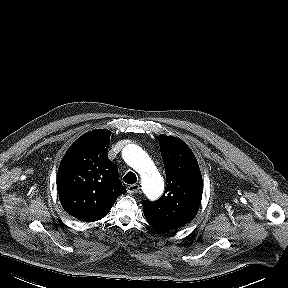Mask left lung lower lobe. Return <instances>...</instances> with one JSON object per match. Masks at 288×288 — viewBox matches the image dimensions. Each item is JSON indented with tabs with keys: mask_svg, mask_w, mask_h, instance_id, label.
Wrapping results in <instances>:
<instances>
[{
	"mask_svg": "<svg viewBox=\"0 0 288 288\" xmlns=\"http://www.w3.org/2000/svg\"><path fill=\"white\" fill-rule=\"evenodd\" d=\"M146 220L148 221L149 224H151L154 228H156L157 230L161 231V232H168L173 230L172 228L162 225L158 222H156L155 220L151 219L150 217H148L147 215H145Z\"/></svg>",
	"mask_w": 288,
	"mask_h": 288,
	"instance_id": "0a47b994",
	"label": "left lung lower lobe"
}]
</instances>
